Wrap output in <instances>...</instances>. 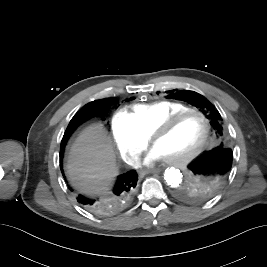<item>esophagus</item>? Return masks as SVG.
<instances>
[{
  "label": "esophagus",
  "mask_w": 267,
  "mask_h": 267,
  "mask_svg": "<svg viewBox=\"0 0 267 267\" xmlns=\"http://www.w3.org/2000/svg\"><path fill=\"white\" fill-rule=\"evenodd\" d=\"M154 171H155L154 169L147 170V171H140L139 174H140L141 176H144L145 174H147V173H151V172H154Z\"/></svg>",
  "instance_id": "1"
}]
</instances>
